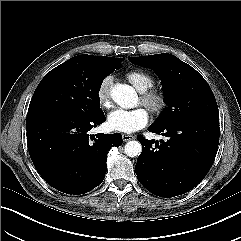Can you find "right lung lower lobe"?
Returning a JSON list of instances; mask_svg holds the SVG:
<instances>
[{
  "mask_svg": "<svg viewBox=\"0 0 241 241\" xmlns=\"http://www.w3.org/2000/svg\"><path fill=\"white\" fill-rule=\"evenodd\" d=\"M104 121L103 111L91 117L63 112L27 116L29 154L50 186L79 195L103 182L107 153L123 142L120 133L89 135L88 131Z\"/></svg>",
  "mask_w": 241,
  "mask_h": 241,
  "instance_id": "1",
  "label": "right lung lower lobe"
}]
</instances>
